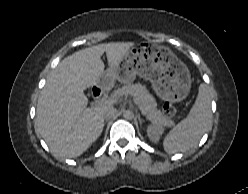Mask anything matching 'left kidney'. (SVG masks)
<instances>
[{"mask_svg":"<svg viewBox=\"0 0 248 194\" xmlns=\"http://www.w3.org/2000/svg\"><path fill=\"white\" fill-rule=\"evenodd\" d=\"M164 129L159 124H152L149 125L147 128V135L150 138L151 141L154 143H157L160 139V136L162 135Z\"/></svg>","mask_w":248,"mask_h":194,"instance_id":"obj_1","label":"left kidney"}]
</instances>
